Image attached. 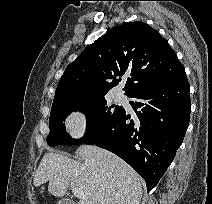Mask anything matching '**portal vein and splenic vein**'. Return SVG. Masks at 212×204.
Returning a JSON list of instances; mask_svg holds the SVG:
<instances>
[{
    "label": "portal vein and splenic vein",
    "instance_id": "portal-vein-and-splenic-vein-1",
    "mask_svg": "<svg viewBox=\"0 0 212 204\" xmlns=\"http://www.w3.org/2000/svg\"><path fill=\"white\" fill-rule=\"evenodd\" d=\"M71 188H72L73 194H74L76 197H78V198H80V199L84 198L83 191H82L80 188L76 187V186L74 185V183H71Z\"/></svg>",
    "mask_w": 212,
    "mask_h": 204
}]
</instances>
